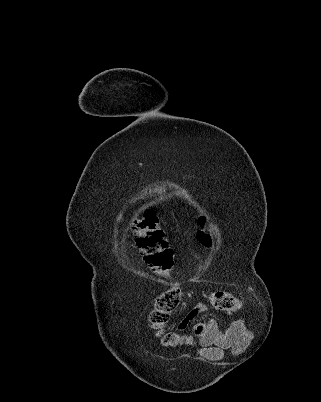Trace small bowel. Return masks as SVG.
<instances>
[{
	"label": "small bowel",
	"mask_w": 321,
	"mask_h": 402,
	"mask_svg": "<svg viewBox=\"0 0 321 402\" xmlns=\"http://www.w3.org/2000/svg\"><path fill=\"white\" fill-rule=\"evenodd\" d=\"M208 310L203 303L194 305L189 309L178 325V329H185L194 322L197 316ZM250 318L242 316L241 320H231V328H222L216 320L195 323L193 334L195 344L199 346V353L209 359L217 360L223 357L224 350L231 348L235 352L240 351L243 346L252 338V333L248 330ZM243 337L239 338V333Z\"/></svg>",
	"instance_id": "obj_1"
}]
</instances>
